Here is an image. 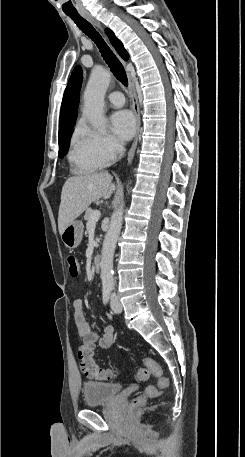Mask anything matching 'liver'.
<instances>
[{
	"instance_id": "obj_1",
	"label": "liver",
	"mask_w": 245,
	"mask_h": 457,
	"mask_svg": "<svg viewBox=\"0 0 245 457\" xmlns=\"http://www.w3.org/2000/svg\"><path fill=\"white\" fill-rule=\"evenodd\" d=\"M109 172H90L67 178L61 192L58 231L62 235L67 224L80 216L97 198H110L116 186Z\"/></svg>"
}]
</instances>
